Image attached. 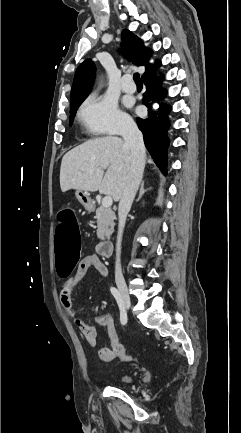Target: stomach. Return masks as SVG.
Segmentation results:
<instances>
[{"label": "stomach", "mask_w": 241, "mask_h": 433, "mask_svg": "<svg viewBox=\"0 0 241 433\" xmlns=\"http://www.w3.org/2000/svg\"><path fill=\"white\" fill-rule=\"evenodd\" d=\"M76 198L78 201L84 206L87 211H91L93 209V202L90 198V195L86 191H76Z\"/></svg>", "instance_id": "0dacf381"}]
</instances>
